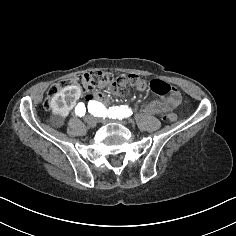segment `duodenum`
Masks as SVG:
<instances>
[{
	"label": "duodenum",
	"mask_w": 236,
	"mask_h": 236,
	"mask_svg": "<svg viewBox=\"0 0 236 236\" xmlns=\"http://www.w3.org/2000/svg\"><path fill=\"white\" fill-rule=\"evenodd\" d=\"M95 98L98 102L103 104L106 108L113 109V108L119 107L115 104H112L110 102V99H109L108 95H106L104 93H99Z\"/></svg>",
	"instance_id": "410a0bca"
}]
</instances>
